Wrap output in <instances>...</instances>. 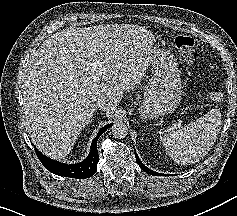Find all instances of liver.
Returning a JSON list of instances; mask_svg holds the SVG:
<instances>
[{
  "label": "liver",
  "mask_w": 237,
  "mask_h": 216,
  "mask_svg": "<svg viewBox=\"0 0 237 216\" xmlns=\"http://www.w3.org/2000/svg\"><path fill=\"white\" fill-rule=\"evenodd\" d=\"M112 30L69 27L45 40L30 62L23 84L25 126L46 154L71 150L93 121L98 100L118 105L124 90L140 82L145 67L121 62Z\"/></svg>",
  "instance_id": "obj_1"
}]
</instances>
